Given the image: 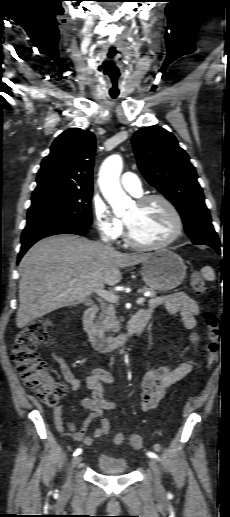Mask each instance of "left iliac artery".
Listing matches in <instances>:
<instances>
[{
  "mask_svg": "<svg viewBox=\"0 0 230 517\" xmlns=\"http://www.w3.org/2000/svg\"><path fill=\"white\" fill-rule=\"evenodd\" d=\"M147 456L154 459H159L158 456L154 452H147Z\"/></svg>",
  "mask_w": 230,
  "mask_h": 517,
  "instance_id": "obj_1",
  "label": "left iliac artery"
}]
</instances>
